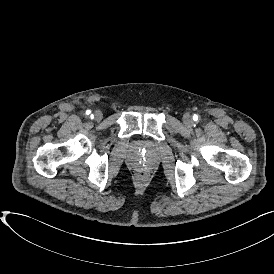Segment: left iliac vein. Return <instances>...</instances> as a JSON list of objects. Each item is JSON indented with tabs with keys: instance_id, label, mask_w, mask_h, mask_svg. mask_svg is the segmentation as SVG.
<instances>
[{
	"instance_id": "4c4485c4",
	"label": "left iliac vein",
	"mask_w": 274,
	"mask_h": 274,
	"mask_svg": "<svg viewBox=\"0 0 274 274\" xmlns=\"http://www.w3.org/2000/svg\"><path fill=\"white\" fill-rule=\"evenodd\" d=\"M183 122L187 126H191L193 124V118L190 114H185L183 116Z\"/></svg>"
}]
</instances>
